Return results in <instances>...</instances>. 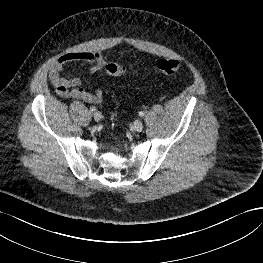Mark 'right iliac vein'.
<instances>
[{
    "instance_id": "63e3f726",
    "label": "right iliac vein",
    "mask_w": 263,
    "mask_h": 263,
    "mask_svg": "<svg viewBox=\"0 0 263 263\" xmlns=\"http://www.w3.org/2000/svg\"><path fill=\"white\" fill-rule=\"evenodd\" d=\"M101 113L100 112H95L94 114H93V118H94V120L95 121H99L100 119H101Z\"/></svg>"
}]
</instances>
